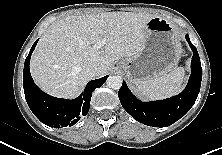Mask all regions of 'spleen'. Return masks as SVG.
Wrapping results in <instances>:
<instances>
[{
	"instance_id": "obj_1",
	"label": "spleen",
	"mask_w": 222,
	"mask_h": 155,
	"mask_svg": "<svg viewBox=\"0 0 222 155\" xmlns=\"http://www.w3.org/2000/svg\"><path fill=\"white\" fill-rule=\"evenodd\" d=\"M184 68H175L172 72L155 79L138 80L136 87L149 99H163L178 94L184 81Z\"/></svg>"
}]
</instances>
